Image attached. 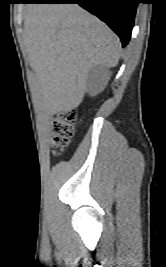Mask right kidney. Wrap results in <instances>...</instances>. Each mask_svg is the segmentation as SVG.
<instances>
[{"label": "right kidney", "instance_id": "right-kidney-1", "mask_svg": "<svg viewBox=\"0 0 166 267\" xmlns=\"http://www.w3.org/2000/svg\"><path fill=\"white\" fill-rule=\"evenodd\" d=\"M89 85H90V91L93 93H97L100 90L98 83L96 81V76L91 78V80L89 81Z\"/></svg>", "mask_w": 166, "mask_h": 267}]
</instances>
